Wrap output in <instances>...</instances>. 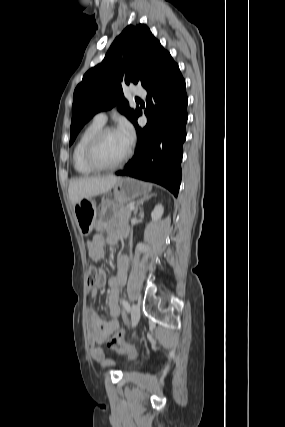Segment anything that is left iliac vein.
Masks as SVG:
<instances>
[{
    "label": "left iliac vein",
    "instance_id": "1",
    "mask_svg": "<svg viewBox=\"0 0 285 427\" xmlns=\"http://www.w3.org/2000/svg\"><path fill=\"white\" fill-rule=\"evenodd\" d=\"M140 319V307L137 304L132 305L131 309V326L135 327Z\"/></svg>",
    "mask_w": 285,
    "mask_h": 427
}]
</instances>
